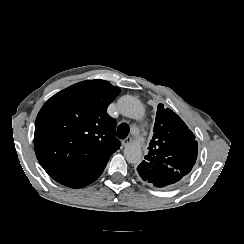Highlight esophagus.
<instances>
[{
	"mask_svg": "<svg viewBox=\"0 0 244 244\" xmlns=\"http://www.w3.org/2000/svg\"><path fill=\"white\" fill-rule=\"evenodd\" d=\"M131 141H132V138L127 137L124 140H122V145L125 147V146L129 145L131 143Z\"/></svg>",
	"mask_w": 244,
	"mask_h": 244,
	"instance_id": "1",
	"label": "esophagus"
}]
</instances>
